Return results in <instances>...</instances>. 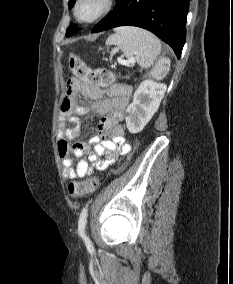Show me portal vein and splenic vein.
I'll list each match as a JSON object with an SVG mask.
<instances>
[{"instance_id": "18ae733b", "label": "portal vein and splenic vein", "mask_w": 233, "mask_h": 284, "mask_svg": "<svg viewBox=\"0 0 233 284\" xmlns=\"http://www.w3.org/2000/svg\"><path fill=\"white\" fill-rule=\"evenodd\" d=\"M119 62H120L121 64H124V65H128V64H129V62H126V61H124L123 59H119Z\"/></svg>"}]
</instances>
